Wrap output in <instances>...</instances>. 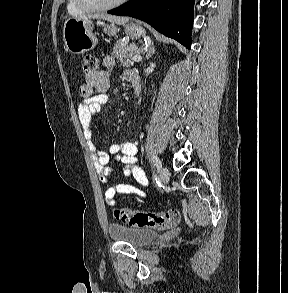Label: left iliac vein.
<instances>
[{
    "label": "left iliac vein",
    "instance_id": "1",
    "mask_svg": "<svg viewBox=\"0 0 288 293\" xmlns=\"http://www.w3.org/2000/svg\"><path fill=\"white\" fill-rule=\"evenodd\" d=\"M170 178V173L169 170L166 167H162L160 169V181L162 183H167Z\"/></svg>",
    "mask_w": 288,
    "mask_h": 293
}]
</instances>
